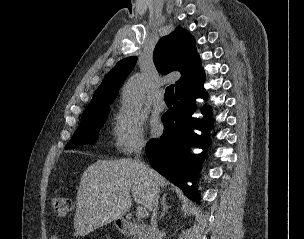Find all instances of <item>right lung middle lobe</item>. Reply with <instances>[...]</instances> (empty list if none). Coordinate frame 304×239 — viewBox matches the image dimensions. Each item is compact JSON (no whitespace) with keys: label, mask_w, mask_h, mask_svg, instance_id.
<instances>
[{"label":"right lung middle lobe","mask_w":304,"mask_h":239,"mask_svg":"<svg viewBox=\"0 0 304 239\" xmlns=\"http://www.w3.org/2000/svg\"><path fill=\"white\" fill-rule=\"evenodd\" d=\"M109 110L110 109L108 106H104L85 113L82 116V121L80 122L77 131L74 133L65 149H70L85 144H94L97 139V132L104 124Z\"/></svg>","instance_id":"1"}]
</instances>
